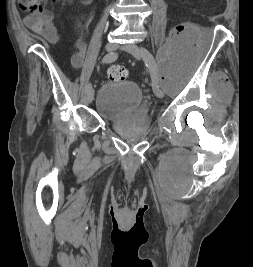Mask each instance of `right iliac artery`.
I'll list each match as a JSON object with an SVG mask.
<instances>
[{
    "label": "right iliac artery",
    "instance_id": "obj_1",
    "mask_svg": "<svg viewBox=\"0 0 253 267\" xmlns=\"http://www.w3.org/2000/svg\"><path fill=\"white\" fill-rule=\"evenodd\" d=\"M118 58V54L115 52L108 53L104 56L102 63H112ZM91 88L90 83H86V91Z\"/></svg>",
    "mask_w": 253,
    "mask_h": 267
}]
</instances>
